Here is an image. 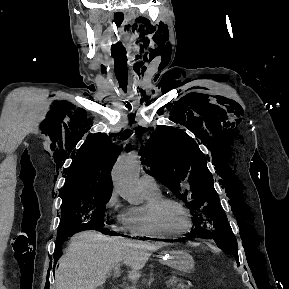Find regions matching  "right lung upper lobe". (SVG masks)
Segmentation results:
<instances>
[{
	"label": "right lung upper lobe",
	"instance_id": "obj_1",
	"mask_svg": "<svg viewBox=\"0 0 289 289\" xmlns=\"http://www.w3.org/2000/svg\"><path fill=\"white\" fill-rule=\"evenodd\" d=\"M121 149L104 134L87 138L67 172L61 198L112 193L111 170Z\"/></svg>",
	"mask_w": 289,
	"mask_h": 289
}]
</instances>
